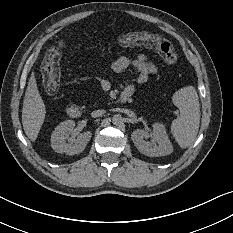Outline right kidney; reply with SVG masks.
<instances>
[{
  "instance_id": "ca27d5eb",
  "label": "right kidney",
  "mask_w": 233,
  "mask_h": 233,
  "mask_svg": "<svg viewBox=\"0 0 233 233\" xmlns=\"http://www.w3.org/2000/svg\"><path fill=\"white\" fill-rule=\"evenodd\" d=\"M74 128L75 122L73 120L62 121L57 125L51 135V147L55 152L76 155L85 150V147L92 136L91 132H83L77 136L75 141L65 143L67 133Z\"/></svg>"
}]
</instances>
